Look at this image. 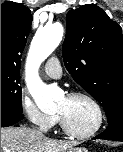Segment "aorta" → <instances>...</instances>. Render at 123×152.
Returning <instances> with one entry per match:
<instances>
[{"instance_id": "762f6f07", "label": "aorta", "mask_w": 123, "mask_h": 152, "mask_svg": "<svg viewBox=\"0 0 123 152\" xmlns=\"http://www.w3.org/2000/svg\"><path fill=\"white\" fill-rule=\"evenodd\" d=\"M64 28L56 22L38 30L26 61L27 87L36 105L43 112L56 109L58 96L55 89L44 84L38 76V68L42 62L56 49L62 40Z\"/></svg>"}]
</instances>
